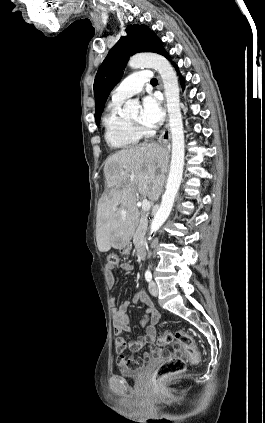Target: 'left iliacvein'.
Segmentation results:
<instances>
[{"label":"left iliac vein","instance_id":"4c4485c4","mask_svg":"<svg viewBox=\"0 0 265 423\" xmlns=\"http://www.w3.org/2000/svg\"><path fill=\"white\" fill-rule=\"evenodd\" d=\"M149 291H150L151 295H153V296L158 295V287H157L156 283H154V282L149 283Z\"/></svg>","mask_w":265,"mask_h":423}]
</instances>
